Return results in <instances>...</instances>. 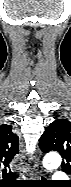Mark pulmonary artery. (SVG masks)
I'll list each match as a JSON object with an SVG mask.
<instances>
[{"label": "pulmonary artery", "mask_w": 71, "mask_h": 187, "mask_svg": "<svg viewBox=\"0 0 71 187\" xmlns=\"http://www.w3.org/2000/svg\"><path fill=\"white\" fill-rule=\"evenodd\" d=\"M54 178H55V179H58V180H62V179L67 178V176H66V174L63 173V172H57V173L54 175Z\"/></svg>", "instance_id": "1"}]
</instances>
